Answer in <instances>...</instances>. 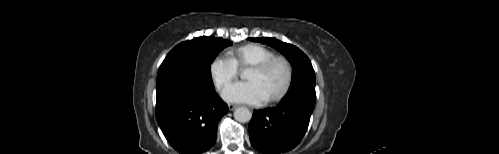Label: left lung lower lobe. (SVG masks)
Here are the masks:
<instances>
[{
	"instance_id": "obj_1",
	"label": "left lung lower lobe",
	"mask_w": 499,
	"mask_h": 154,
	"mask_svg": "<svg viewBox=\"0 0 499 154\" xmlns=\"http://www.w3.org/2000/svg\"><path fill=\"white\" fill-rule=\"evenodd\" d=\"M315 101V87H298L276 107L254 111L249 123L252 146L264 154L293 149L307 130Z\"/></svg>"
}]
</instances>
